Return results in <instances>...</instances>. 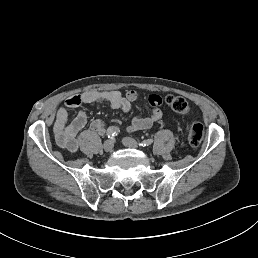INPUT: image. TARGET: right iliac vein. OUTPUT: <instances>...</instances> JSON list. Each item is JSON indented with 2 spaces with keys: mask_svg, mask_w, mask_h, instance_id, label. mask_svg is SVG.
Here are the masks:
<instances>
[{
  "mask_svg": "<svg viewBox=\"0 0 258 258\" xmlns=\"http://www.w3.org/2000/svg\"><path fill=\"white\" fill-rule=\"evenodd\" d=\"M113 148H114V142H113V140L108 139V140H106V141L104 142V144H103V150H104L105 152H110V151L113 150Z\"/></svg>",
  "mask_w": 258,
  "mask_h": 258,
  "instance_id": "1",
  "label": "right iliac vein"
}]
</instances>
